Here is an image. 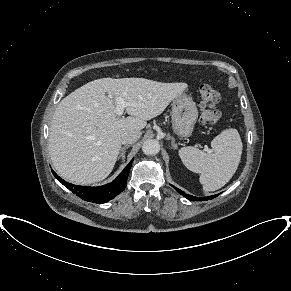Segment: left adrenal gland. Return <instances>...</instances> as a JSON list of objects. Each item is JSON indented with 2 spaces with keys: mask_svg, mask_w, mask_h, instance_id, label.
Segmentation results:
<instances>
[{
  "mask_svg": "<svg viewBox=\"0 0 291 291\" xmlns=\"http://www.w3.org/2000/svg\"><path fill=\"white\" fill-rule=\"evenodd\" d=\"M167 139L171 140V146L173 149H177V144H175V139L174 137L170 136V134L167 135Z\"/></svg>",
  "mask_w": 291,
  "mask_h": 291,
  "instance_id": "1",
  "label": "left adrenal gland"
}]
</instances>
